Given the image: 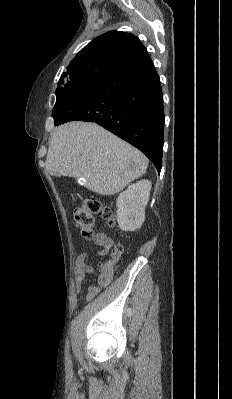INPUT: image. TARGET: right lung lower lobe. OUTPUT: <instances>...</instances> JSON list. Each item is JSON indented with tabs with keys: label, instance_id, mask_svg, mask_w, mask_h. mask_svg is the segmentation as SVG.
I'll return each mask as SVG.
<instances>
[{
	"label": "right lung lower lobe",
	"instance_id": "98d812e1",
	"mask_svg": "<svg viewBox=\"0 0 232 399\" xmlns=\"http://www.w3.org/2000/svg\"><path fill=\"white\" fill-rule=\"evenodd\" d=\"M164 119L160 79L149 57L67 102L54 123L95 122L141 150L160 172Z\"/></svg>",
	"mask_w": 232,
	"mask_h": 399
}]
</instances>
